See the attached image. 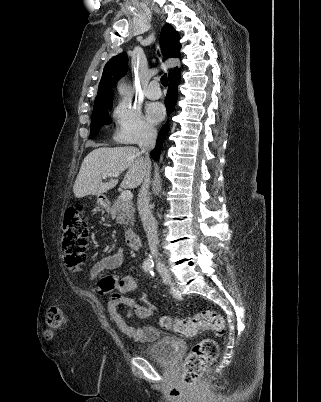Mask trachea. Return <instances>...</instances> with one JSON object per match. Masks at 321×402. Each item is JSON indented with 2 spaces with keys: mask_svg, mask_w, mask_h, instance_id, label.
I'll return each mask as SVG.
<instances>
[{
  "mask_svg": "<svg viewBox=\"0 0 321 402\" xmlns=\"http://www.w3.org/2000/svg\"><path fill=\"white\" fill-rule=\"evenodd\" d=\"M167 74H164L162 77H161V83H162V85L163 86H167Z\"/></svg>",
  "mask_w": 321,
  "mask_h": 402,
  "instance_id": "obj_1",
  "label": "trachea"
}]
</instances>
